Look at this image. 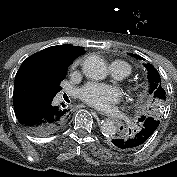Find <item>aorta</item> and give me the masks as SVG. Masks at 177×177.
<instances>
[{
  "mask_svg": "<svg viewBox=\"0 0 177 177\" xmlns=\"http://www.w3.org/2000/svg\"><path fill=\"white\" fill-rule=\"evenodd\" d=\"M83 73L93 80H101L107 74V66L104 59L98 55H91L83 62ZM116 126L112 120H106L101 125V132L105 136H113L116 133Z\"/></svg>",
  "mask_w": 177,
  "mask_h": 177,
  "instance_id": "762f6f07",
  "label": "aorta"
}]
</instances>
